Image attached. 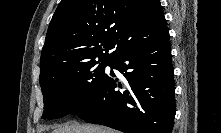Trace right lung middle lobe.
<instances>
[{"mask_svg": "<svg viewBox=\"0 0 221 133\" xmlns=\"http://www.w3.org/2000/svg\"><path fill=\"white\" fill-rule=\"evenodd\" d=\"M113 62L65 63L52 66L40 75L44 98L42 118L76 115L105 84V66Z\"/></svg>", "mask_w": 221, "mask_h": 133, "instance_id": "dd1d6c3e", "label": "right lung middle lobe"}]
</instances>
